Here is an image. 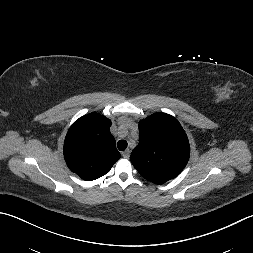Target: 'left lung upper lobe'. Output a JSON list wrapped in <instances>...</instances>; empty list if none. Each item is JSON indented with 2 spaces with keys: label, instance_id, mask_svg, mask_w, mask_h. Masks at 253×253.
Returning a JSON list of instances; mask_svg holds the SVG:
<instances>
[{
  "label": "left lung upper lobe",
  "instance_id": "obj_1",
  "mask_svg": "<svg viewBox=\"0 0 253 253\" xmlns=\"http://www.w3.org/2000/svg\"><path fill=\"white\" fill-rule=\"evenodd\" d=\"M140 142L132 151L131 162L146 180L162 184L175 178L186 166L188 138L173 116L153 114L139 123Z\"/></svg>",
  "mask_w": 253,
  "mask_h": 253
}]
</instances>
